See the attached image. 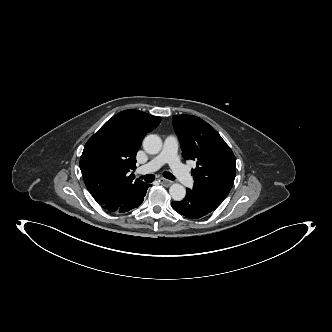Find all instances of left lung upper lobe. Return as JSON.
<instances>
[{
	"instance_id": "5c2ea615",
	"label": "left lung upper lobe",
	"mask_w": 332,
	"mask_h": 332,
	"mask_svg": "<svg viewBox=\"0 0 332 332\" xmlns=\"http://www.w3.org/2000/svg\"><path fill=\"white\" fill-rule=\"evenodd\" d=\"M185 160L196 161L191 173L193 189L200 197L219 206L229 194L236 175V159L219 133L201 118L191 115L172 117Z\"/></svg>"
}]
</instances>
